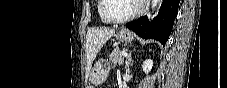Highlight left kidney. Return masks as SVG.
<instances>
[{
  "instance_id": "1",
  "label": "left kidney",
  "mask_w": 227,
  "mask_h": 88,
  "mask_svg": "<svg viewBox=\"0 0 227 88\" xmlns=\"http://www.w3.org/2000/svg\"><path fill=\"white\" fill-rule=\"evenodd\" d=\"M153 67V61L151 59H147L144 61L143 65H142V69L145 73H148L151 71Z\"/></svg>"
}]
</instances>
